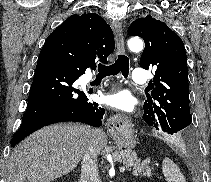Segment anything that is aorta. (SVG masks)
I'll return each mask as SVG.
<instances>
[{"instance_id":"aorta-1","label":"aorta","mask_w":211,"mask_h":182,"mask_svg":"<svg viewBox=\"0 0 211 182\" xmlns=\"http://www.w3.org/2000/svg\"><path fill=\"white\" fill-rule=\"evenodd\" d=\"M128 47L133 52H140L143 49V41L138 37L131 38L128 40Z\"/></svg>"}]
</instances>
